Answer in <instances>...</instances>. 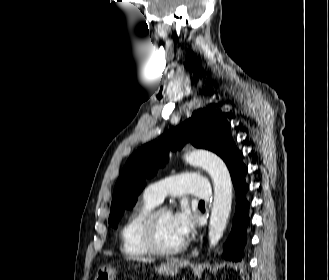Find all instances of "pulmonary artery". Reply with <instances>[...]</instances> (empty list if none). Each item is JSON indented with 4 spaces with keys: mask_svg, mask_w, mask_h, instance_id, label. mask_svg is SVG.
<instances>
[{
    "mask_svg": "<svg viewBox=\"0 0 329 280\" xmlns=\"http://www.w3.org/2000/svg\"><path fill=\"white\" fill-rule=\"evenodd\" d=\"M144 194L158 203L162 202L166 195L191 194L200 199L208 200L211 196V187L209 182L199 174L184 172L150 184L145 189Z\"/></svg>",
    "mask_w": 329,
    "mask_h": 280,
    "instance_id": "pulmonary-artery-1",
    "label": "pulmonary artery"
}]
</instances>
